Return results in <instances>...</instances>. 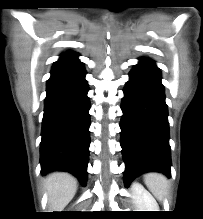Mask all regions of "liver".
<instances>
[{
    "label": "liver",
    "mask_w": 203,
    "mask_h": 219,
    "mask_svg": "<svg viewBox=\"0 0 203 219\" xmlns=\"http://www.w3.org/2000/svg\"><path fill=\"white\" fill-rule=\"evenodd\" d=\"M77 179L66 172H53L45 179V190L48 194V206L52 212H58L74 197L77 190Z\"/></svg>",
    "instance_id": "1"
}]
</instances>
